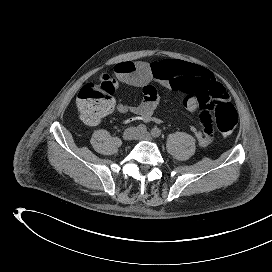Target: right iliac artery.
<instances>
[{"instance_id": "right-iliac-artery-1", "label": "right iliac artery", "mask_w": 272, "mask_h": 272, "mask_svg": "<svg viewBox=\"0 0 272 272\" xmlns=\"http://www.w3.org/2000/svg\"><path fill=\"white\" fill-rule=\"evenodd\" d=\"M137 131L141 132V133H144V132L147 131V128H146V126L144 124H140V125L137 126Z\"/></svg>"}]
</instances>
